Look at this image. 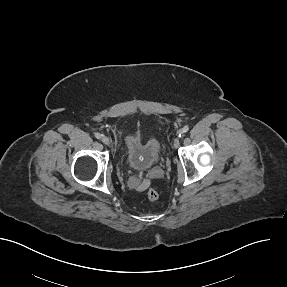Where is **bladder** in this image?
<instances>
[{"mask_svg": "<svg viewBox=\"0 0 287 287\" xmlns=\"http://www.w3.org/2000/svg\"><path fill=\"white\" fill-rule=\"evenodd\" d=\"M160 155L161 143L157 138H144L138 131L125 136L122 158L130 168L148 170L158 162Z\"/></svg>", "mask_w": 287, "mask_h": 287, "instance_id": "bladder-1", "label": "bladder"}]
</instances>
